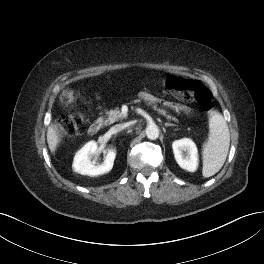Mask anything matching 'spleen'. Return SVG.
<instances>
[{
	"label": "spleen",
	"instance_id": "3e777b00",
	"mask_svg": "<svg viewBox=\"0 0 264 264\" xmlns=\"http://www.w3.org/2000/svg\"><path fill=\"white\" fill-rule=\"evenodd\" d=\"M230 145V132L223 116L211 111L209 118V139L203 145L202 175L205 178L216 174L224 165Z\"/></svg>",
	"mask_w": 264,
	"mask_h": 264
}]
</instances>
